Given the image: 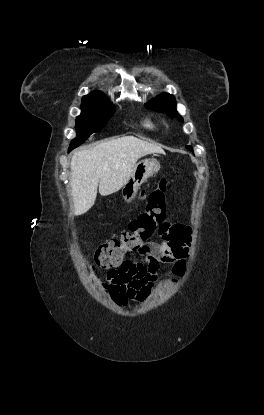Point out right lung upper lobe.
<instances>
[{
  "mask_svg": "<svg viewBox=\"0 0 264 415\" xmlns=\"http://www.w3.org/2000/svg\"><path fill=\"white\" fill-rule=\"evenodd\" d=\"M106 96L100 92V91H96V92H92L90 94L85 95L82 100H88V99H105Z\"/></svg>",
  "mask_w": 264,
  "mask_h": 415,
  "instance_id": "1",
  "label": "right lung upper lobe"
}]
</instances>
